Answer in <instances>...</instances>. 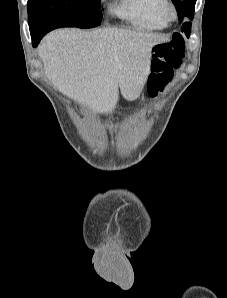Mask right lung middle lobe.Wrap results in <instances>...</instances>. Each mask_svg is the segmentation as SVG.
Here are the masks:
<instances>
[{"label": "right lung middle lobe", "instance_id": "dd1d6c3e", "mask_svg": "<svg viewBox=\"0 0 227 298\" xmlns=\"http://www.w3.org/2000/svg\"><path fill=\"white\" fill-rule=\"evenodd\" d=\"M31 35L60 27L92 28L100 25V0H28Z\"/></svg>", "mask_w": 227, "mask_h": 298}]
</instances>
